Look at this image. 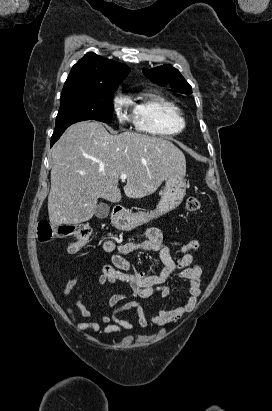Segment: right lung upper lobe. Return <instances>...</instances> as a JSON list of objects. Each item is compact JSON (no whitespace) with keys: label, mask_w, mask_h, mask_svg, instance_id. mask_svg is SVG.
Returning <instances> with one entry per match:
<instances>
[{"label":"right lung upper lobe","mask_w":272,"mask_h":411,"mask_svg":"<svg viewBox=\"0 0 272 411\" xmlns=\"http://www.w3.org/2000/svg\"><path fill=\"white\" fill-rule=\"evenodd\" d=\"M130 68L95 53H87L71 69L62 92L85 91L120 84Z\"/></svg>","instance_id":"right-lung-upper-lobe-1"}]
</instances>
